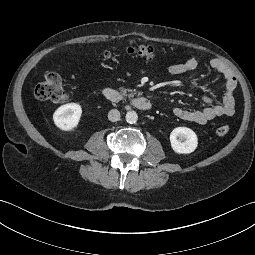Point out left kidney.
<instances>
[{
  "label": "left kidney",
  "mask_w": 255,
  "mask_h": 255,
  "mask_svg": "<svg viewBox=\"0 0 255 255\" xmlns=\"http://www.w3.org/2000/svg\"><path fill=\"white\" fill-rule=\"evenodd\" d=\"M170 143L174 152L178 154H189L197 148L198 138L192 129L177 127L170 134Z\"/></svg>",
  "instance_id": "obj_1"
}]
</instances>
